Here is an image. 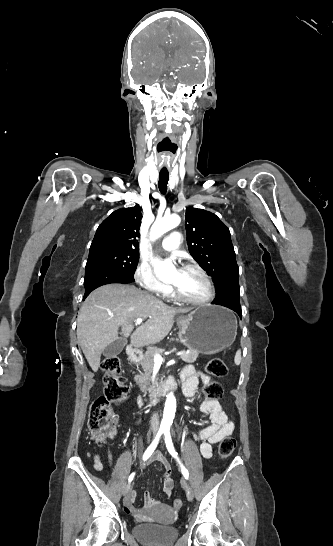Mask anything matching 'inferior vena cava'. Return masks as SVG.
<instances>
[{
	"label": "inferior vena cava",
	"instance_id": "1",
	"mask_svg": "<svg viewBox=\"0 0 333 546\" xmlns=\"http://www.w3.org/2000/svg\"><path fill=\"white\" fill-rule=\"evenodd\" d=\"M150 428L154 432H157L159 429V417L158 414L154 413L150 420Z\"/></svg>",
	"mask_w": 333,
	"mask_h": 546
}]
</instances>
